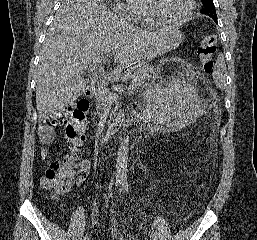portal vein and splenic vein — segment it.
Returning <instances> with one entry per match:
<instances>
[{
    "label": "portal vein and splenic vein",
    "instance_id": "18ae733b",
    "mask_svg": "<svg viewBox=\"0 0 257 240\" xmlns=\"http://www.w3.org/2000/svg\"><path fill=\"white\" fill-rule=\"evenodd\" d=\"M105 61V57H97V58H95L94 60H93V63L92 64H90V63H87L85 66H84V68H89L90 70H97V72L99 73V74H102V73H104L103 71H102V69L101 68H99V65L100 64H102L103 62ZM135 88L131 85V86H129V88H128V92H129V94H131L132 92H133V90H134ZM114 97V99H118V96L117 95H115V96H113Z\"/></svg>",
    "mask_w": 257,
    "mask_h": 240
}]
</instances>
